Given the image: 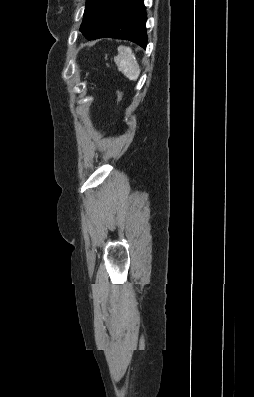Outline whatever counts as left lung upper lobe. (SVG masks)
I'll return each mask as SVG.
<instances>
[{
  "mask_svg": "<svg viewBox=\"0 0 254 397\" xmlns=\"http://www.w3.org/2000/svg\"><path fill=\"white\" fill-rule=\"evenodd\" d=\"M109 0H87L80 31L87 38L99 24Z\"/></svg>",
  "mask_w": 254,
  "mask_h": 397,
  "instance_id": "5c2ea615",
  "label": "left lung upper lobe"
}]
</instances>
